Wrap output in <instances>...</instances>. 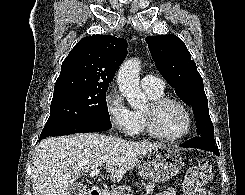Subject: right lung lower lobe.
<instances>
[{"label": "right lung lower lobe", "mask_w": 245, "mask_h": 195, "mask_svg": "<svg viewBox=\"0 0 245 195\" xmlns=\"http://www.w3.org/2000/svg\"><path fill=\"white\" fill-rule=\"evenodd\" d=\"M110 128H112L110 121L103 120V119H94L70 127L66 130L54 134L53 136H63V135H68L73 133H80V132H99V131L108 130ZM40 140L42 139H39V141Z\"/></svg>", "instance_id": "98d812e1"}]
</instances>
